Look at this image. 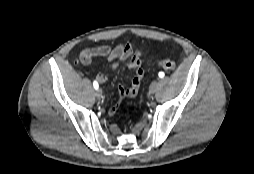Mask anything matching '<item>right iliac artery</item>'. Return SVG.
I'll return each instance as SVG.
<instances>
[{
    "mask_svg": "<svg viewBox=\"0 0 254 174\" xmlns=\"http://www.w3.org/2000/svg\"><path fill=\"white\" fill-rule=\"evenodd\" d=\"M93 86H94V88H95L96 90L98 89L99 85H98L97 81H94V82H93Z\"/></svg>",
    "mask_w": 254,
    "mask_h": 174,
    "instance_id": "obj_1",
    "label": "right iliac artery"
}]
</instances>
